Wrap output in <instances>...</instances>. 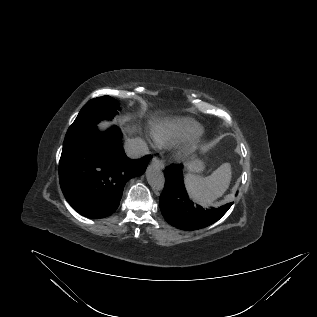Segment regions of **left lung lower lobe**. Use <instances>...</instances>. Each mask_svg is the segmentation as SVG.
<instances>
[{
	"label": "left lung lower lobe",
	"instance_id": "obj_1",
	"mask_svg": "<svg viewBox=\"0 0 317 317\" xmlns=\"http://www.w3.org/2000/svg\"><path fill=\"white\" fill-rule=\"evenodd\" d=\"M183 166L172 165L165 170V187L160 197V209L168 223L182 230H197L218 221L232 206L206 209L192 202L183 184Z\"/></svg>",
	"mask_w": 317,
	"mask_h": 317
}]
</instances>
